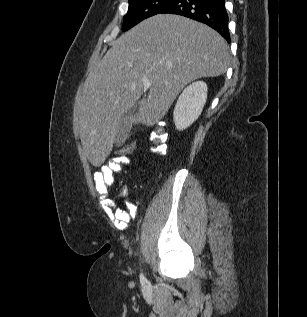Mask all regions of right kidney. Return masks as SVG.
I'll list each match as a JSON object with an SVG mask.
<instances>
[{
    "label": "right kidney",
    "mask_w": 307,
    "mask_h": 317,
    "mask_svg": "<svg viewBox=\"0 0 307 317\" xmlns=\"http://www.w3.org/2000/svg\"><path fill=\"white\" fill-rule=\"evenodd\" d=\"M207 99V84L196 81L187 86L179 96L173 112L177 130L189 127L201 115Z\"/></svg>",
    "instance_id": "right-kidney-1"
}]
</instances>
